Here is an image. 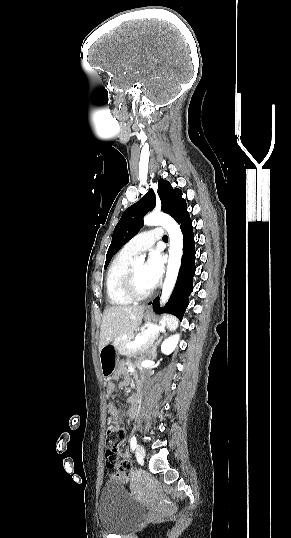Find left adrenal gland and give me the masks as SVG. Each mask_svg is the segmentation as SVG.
<instances>
[{
    "label": "left adrenal gland",
    "instance_id": "obj_1",
    "mask_svg": "<svg viewBox=\"0 0 291 538\" xmlns=\"http://www.w3.org/2000/svg\"><path fill=\"white\" fill-rule=\"evenodd\" d=\"M160 332L165 333V327H162ZM158 336H159V334H158ZM160 341H161V338L157 339V341L155 343L152 342L151 345H150V349L147 350V353H150L152 355V358H155L156 355H157L156 349H157V345L160 343Z\"/></svg>",
    "mask_w": 291,
    "mask_h": 538
}]
</instances>
